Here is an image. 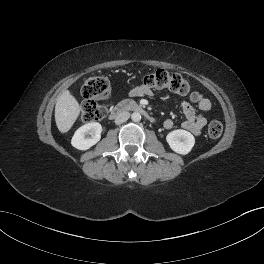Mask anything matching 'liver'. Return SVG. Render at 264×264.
Instances as JSON below:
<instances>
[{
  "label": "liver",
  "instance_id": "obj_1",
  "mask_svg": "<svg viewBox=\"0 0 264 264\" xmlns=\"http://www.w3.org/2000/svg\"><path fill=\"white\" fill-rule=\"evenodd\" d=\"M80 114V106L69 90L58 97L55 106V121L61 133L68 132Z\"/></svg>",
  "mask_w": 264,
  "mask_h": 264
}]
</instances>
